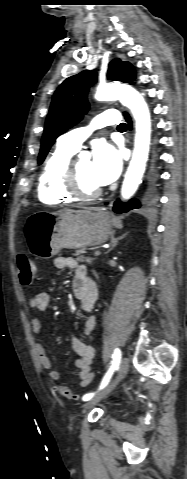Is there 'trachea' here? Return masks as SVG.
<instances>
[{
    "label": "trachea",
    "mask_w": 187,
    "mask_h": 479,
    "mask_svg": "<svg viewBox=\"0 0 187 479\" xmlns=\"http://www.w3.org/2000/svg\"><path fill=\"white\" fill-rule=\"evenodd\" d=\"M126 124L125 123H121L119 126H118V129H126Z\"/></svg>",
    "instance_id": "trachea-1"
}]
</instances>
